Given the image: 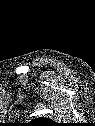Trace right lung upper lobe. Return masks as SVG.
I'll return each instance as SVG.
<instances>
[{
    "label": "right lung upper lobe",
    "instance_id": "cb5924a9",
    "mask_svg": "<svg viewBox=\"0 0 95 126\" xmlns=\"http://www.w3.org/2000/svg\"><path fill=\"white\" fill-rule=\"evenodd\" d=\"M29 126H55L56 123L51 119L40 117L28 123Z\"/></svg>",
    "mask_w": 95,
    "mask_h": 126
}]
</instances>
